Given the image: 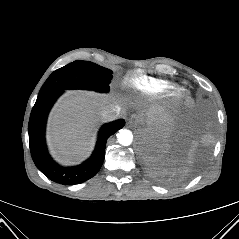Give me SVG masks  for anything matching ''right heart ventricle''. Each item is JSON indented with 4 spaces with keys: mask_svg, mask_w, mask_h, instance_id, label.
I'll return each mask as SVG.
<instances>
[{
    "mask_svg": "<svg viewBox=\"0 0 239 239\" xmlns=\"http://www.w3.org/2000/svg\"><path fill=\"white\" fill-rule=\"evenodd\" d=\"M125 86L140 94H157L167 91L171 84L165 80L137 75L126 78Z\"/></svg>",
    "mask_w": 239,
    "mask_h": 239,
    "instance_id": "obj_1",
    "label": "right heart ventricle"
}]
</instances>
